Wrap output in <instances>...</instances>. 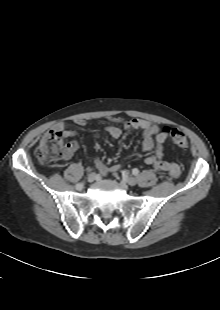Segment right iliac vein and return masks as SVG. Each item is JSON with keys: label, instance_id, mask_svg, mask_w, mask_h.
<instances>
[{"label": "right iliac vein", "instance_id": "right-iliac-vein-1", "mask_svg": "<svg viewBox=\"0 0 220 310\" xmlns=\"http://www.w3.org/2000/svg\"><path fill=\"white\" fill-rule=\"evenodd\" d=\"M95 178H96L95 174L92 173V174L88 175L87 180H88V182H93L95 180Z\"/></svg>", "mask_w": 220, "mask_h": 310}]
</instances>
